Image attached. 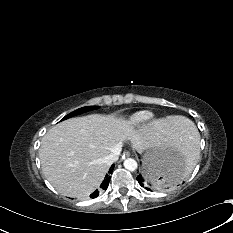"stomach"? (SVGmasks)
<instances>
[{"label": "stomach", "instance_id": "1", "mask_svg": "<svg viewBox=\"0 0 233 233\" xmlns=\"http://www.w3.org/2000/svg\"><path fill=\"white\" fill-rule=\"evenodd\" d=\"M143 175L153 185L167 186L178 182L184 173L185 162L175 148L150 145L143 152Z\"/></svg>", "mask_w": 233, "mask_h": 233}]
</instances>
